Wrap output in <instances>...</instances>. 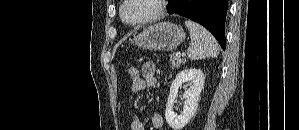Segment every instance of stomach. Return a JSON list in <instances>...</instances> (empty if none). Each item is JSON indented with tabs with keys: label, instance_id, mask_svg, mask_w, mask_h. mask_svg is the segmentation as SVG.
Masks as SVG:
<instances>
[{
	"label": "stomach",
	"instance_id": "obj_1",
	"mask_svg": "<svg viewBox=\"0 0 299 130\" xmlns=\"http://www.w3.org/2000/svg\"><path fill=\"white\" fill-rule=\"evenodd\" d=\"M185 39V32L171 22H161L145 28L134 37L132 43L142 49L172 51Z\"/></svg>",
	"mask_w": 299,
	"mask_h": 130
}]
</instances>
